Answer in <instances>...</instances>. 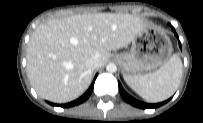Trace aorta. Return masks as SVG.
I'll list each match as a JSON object with an SVG mask.
<instances>
[{"label":"aorta","instance_id":"762f6f07","mask_svg":"<svg viewBox=\"0 0 203 123\" xmlns=\"http://www.w3.org/2000/svg\"><path fill=\"white\" fill-rule=\"evenodd\" d=\"M106 71L109 72V73H115L117 71V67L114 63H109L107 66H106Z\"/></svg>","mask_w":203,"mask_h":123}]
</instances>
